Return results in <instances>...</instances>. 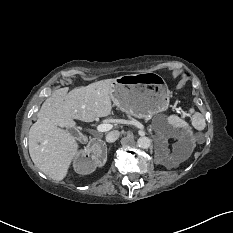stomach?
Wrapping results in <instances>:
<instances>
[{"label": "stomach", "mask_w": 233, "mask_h": 233, "mask_svg": "<svg viewBox=\"0 0 233 233\" xmlns=\"http://www.w3.org/2000/svg\"><path fill=\"white\" fill-rule=\"evenodd\" d=\"M169 97L167 84L154 72L119 76L112 85L114 105L136 118H147L165 111Z\"/></svg>", "instance_id": "0dacf381"}]
</instances>
